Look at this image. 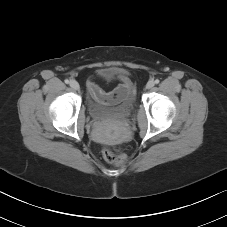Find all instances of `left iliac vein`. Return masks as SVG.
Listing matches in <instances>:
<instances>
[{
	"label": "left iliac vein",
	"mask_w": 227,
	"mask_h": 227,
	"mask_svg": "<svg viewBox=\"0 0 227 227\" xmlns=\"http://www.w3.org/2000/svg\"><path fill=\"white\" fill-rule=\"evenodd\" d=\"M155 82L153 80H149L146 84V88L150 89L154 86Z\"/></svg>",
	"instance_id": "1"
}]
</instances>
